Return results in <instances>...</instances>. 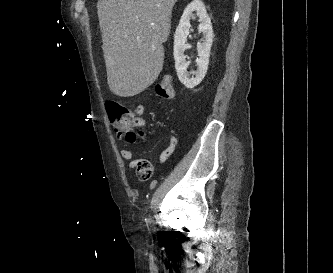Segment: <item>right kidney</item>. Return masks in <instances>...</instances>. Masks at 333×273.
I'll return each instance as SVG.
<instances>
[{
  "mask_svg": "<svg viewBox=\"0 0 333 273\" xmlns=\"http://www.w3.org/2000/svg\"><path fill=\"white\" fill-rule=\"evenodd\" d=\"M196 12V14H194ZM199 17L198 31L203 34L204 41L197 44V51L199 58L196 60L197 71L195 77H190L187 72L188 61H186V55L184 54L187 49L186 40L190 30V20L195 19V16ZM213 30L210 17L208 16L205 6L200 0H193L185 8L180 22L176 28L174 34V59L175 68L178 78L186 88L192 89L197 86L205 77L207 73L210 49L213 42Z\"/></svg>",
  "mask_w": 333,
  "mask_h": 273,
  "instance_id": "ca27d5eb",
  "label": "right kidney"
}]
</instances>
